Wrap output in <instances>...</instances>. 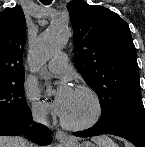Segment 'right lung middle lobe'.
Masks as SVG:
<instances>
[{
	"label": "right lung middle lobe",
	"instance_id": "obj_1",
	"mask_svg": "<svg viewBox=\"0 0 145 147\" xmlns=\"http://www.w3.org/2000/svg\"><path fill=\"white\" fill-rule=\"evenodd\" d=\"M28 111L24 75L0 82V121L20 118Z\"/></svg>",
	"mask_w": 145,
	"mask_h": 147
}]
</instances>
